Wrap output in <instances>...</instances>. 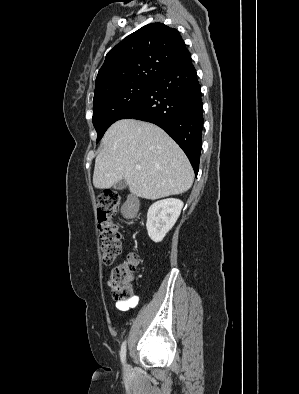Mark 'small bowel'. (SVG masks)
Masks as SVG:
<instances>
[{"label":"small bowel","mask_w":299,"mask_h":394,"mask_svg":"<svg viewBox=\"0 0 299 394\" xmlns=\"http://www.w3.org/2000/svg\"><path fill=\"white\" fill-rule=\"evenodd\" d=\"M138 303V297L135 296L128 301H118L116 302V308L121 312H127L130 309L134 308Z\"/></svg>","instance_id":"small-bowel-1"}]
</instances>
